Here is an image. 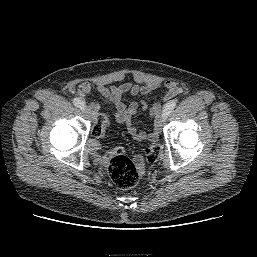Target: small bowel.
<instances>
[{
    "instance_id": "obj_1",
    "label": "small bowel",
    "mask_w": 257,
    "mask_h": 257,
    "mask_svg": "<svg viewBox=\"0 0 257 257\" xmlns=\"http://www.w3.org/2000/svg\"><path fill=\"white\" fill-rule=\"evenodd\" d=\"M159 85L160 83L157 81H151L144 85L131 82H125L116 86H105L103 84H97L95 86V90L102 96L106 104L113 109V119L118 123L124 124L133 139L136 141H143L145 139L155 141L158 137V129L156 124H154V127L148 133H146L143 130H139L133 122L134 115L147 110L146 102L141 100L126 104L123 101V96L126 94L133 96L148 94L158 88ZM166 87V98H171L179 92L178 87L172 82H168ZM92 90L93 86L88 82H84L78 87V95L92 111L97 124L105 127L109 124L110 119L105 115L98 114L100 105L96 101L90 99ZM159 110L160 105L156 103L150 108V113L152 116H156Z\"/></svg>"
}]
</instances>
